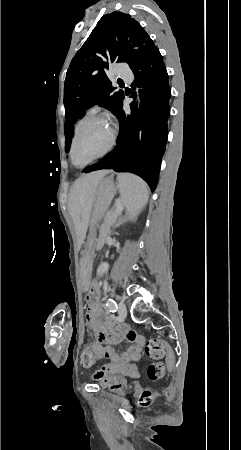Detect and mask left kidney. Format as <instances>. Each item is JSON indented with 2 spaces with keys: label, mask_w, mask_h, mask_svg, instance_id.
<instances>
[{
  "label": "left kidney",
  "mask_w": 241,
  "mask_h": 450,
  "mask_svg": "<svg viewBox=\"0 0 241 450\" xmlns=\"http://www.w3.org/2000/svg\"><path fill=\"white\" fill-rule=\"evenodd\" d=\"M109 266H107V264H100L97 272H98V276H102V274H105V272H107Z\"/></svg>",
  "instance_id": "left-kidney-1"
}]
</instances>
